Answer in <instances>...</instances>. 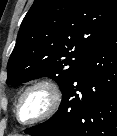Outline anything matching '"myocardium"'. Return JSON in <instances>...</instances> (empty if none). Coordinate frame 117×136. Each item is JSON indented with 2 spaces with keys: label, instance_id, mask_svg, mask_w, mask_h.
Here are the masks:
<instances>
[{
  "label": "myocardium",
  "instance_id": "1",
  "mask_svg": "<svg viewBox=\"0 0 117 136\" xmlns=\"http://www.w3.org/2000/svg\"><path fill=\"white\" fill-rule=\"evenodd\" d=\"M37 89H42L48 93L49 104L45 111L42 112L40 115L36 116L33 119L24 121L20 118V106L22 104V101L28 93ZM62 97L63 95L61 87L56 81L48 78L37 80L28 85L19 95L15 109L16 118L22 124H35L47 120L52 117L60 108V105L62 103Z\"/></svg>",
  "mask_w": 117,
  "mask_h": 136
}]
</instances>
